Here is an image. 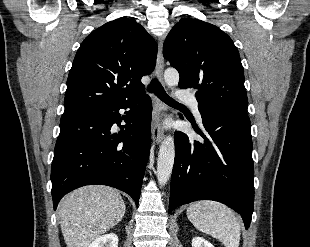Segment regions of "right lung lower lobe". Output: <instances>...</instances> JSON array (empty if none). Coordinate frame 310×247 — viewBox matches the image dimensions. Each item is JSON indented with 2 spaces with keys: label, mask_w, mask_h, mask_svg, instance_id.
Returning a JSON list of instances; mask_svg holds the SVG:
<instances>
[{
  "label": "right lung lower lobe",
  "mask_w": 310,
  "mask_h": 247,
  "mask_svg": "<svg viewBox=\"0 0 310 247\" xmlns=\"http://www.w3.org/2000/svg\"><path fill=\"white\" fill-rule=\"evenodd\" d=\"M130 108L126 116L120 109ZM152 103L141 95L120 104L64 111L51 167L54 210L68 192L103 184L139 202L151 144ZM121 119L126 122L121 126ZM120 126L113 133V124Z\"/></svg>",
  "instance_id": "obj_1"
}]
</instances>
